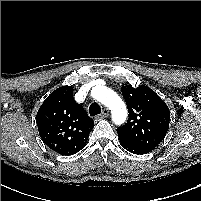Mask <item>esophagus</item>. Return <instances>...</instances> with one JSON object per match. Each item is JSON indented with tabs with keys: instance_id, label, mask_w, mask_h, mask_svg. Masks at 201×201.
Returning <instances> with one entry per match:
<instances>
[{
	"instance_id": "1",
	"label": "esophagus",
	"mask_w": 201,
	"mask_h": 201,
	"mask_svg": "<svg viewBox=\"0 0 201 201\" xmlns=\"http://www.w3.org/2000/svg\"><path fill=\"white\" fill-rule=\"evenodd\" d=\"M109 116V110L108 108H104L102 113L98 116V119L106 118Z\"/></svg>"
}]
</instances>
